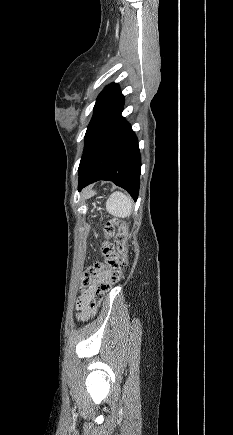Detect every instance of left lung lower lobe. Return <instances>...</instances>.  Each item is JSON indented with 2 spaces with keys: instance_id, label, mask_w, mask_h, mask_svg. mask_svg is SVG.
I'll return each mask as SVG.
<instances>
[{
  "instance_id": "obj_1",
  "label": "left lung lower lobe",
  "mask_w": 233,
  "mask_h": 435,
  "mask_svg": "<svg viewBox=\"0 0 233 435\" xmlns=\"http://www.w3.org/2000/svg\"><path fill=\"white\" fill-rule=\"evenodd\" d=\"M141 156L130 124L121 116L105 126L85 148L79 165V190L98 180L112 181L137 200Z\"/></svg>"
}]
</instances>
